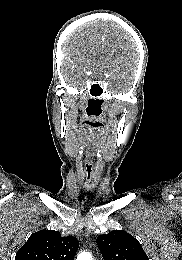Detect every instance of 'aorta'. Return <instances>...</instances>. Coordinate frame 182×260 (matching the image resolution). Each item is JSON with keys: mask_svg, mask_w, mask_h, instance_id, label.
Here are the masks:
<instances>
[{"mask_svg": "<svg viewBox=\"0 0 182 260\" xmlns=\"http://www.w3.org/2000/svg\"><path fill=\"white\" fill-rule=\"evenodd\" d=\"M76 260H93V257L91 255V253L84 251V252H81L80 254H78Z\"/></svg>", "mask_w": 182, "mask_h": 260, "instance_id": "aorta-1", "label": "aorta"}]
</instances>
